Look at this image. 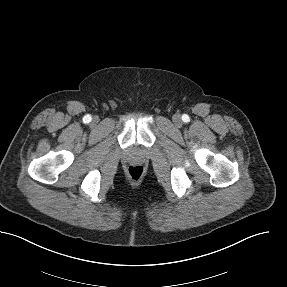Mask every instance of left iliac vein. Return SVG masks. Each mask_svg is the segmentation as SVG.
Here are the masks:
<instances>
[{
	"instance_id": "1",
	"label": "left iliac vein",
	"mask_w": 287,
	"mask_h": 287,
	"mask_svg": "<svg viewBox=\"0 0 287 287\" xmlns=\"http://www.w3.org/2000/svg\"><path fill=\"white\" fill-rule=\"evenodd\" d=\"M172 120L177 127L182 125V119H181V116L179 114H175L173 116Z\"/></svg>"
}]
</instances>
